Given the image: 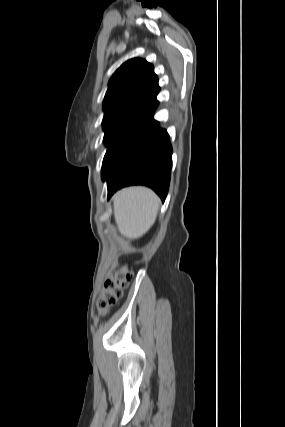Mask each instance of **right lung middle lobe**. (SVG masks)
Returning a JSON list of instances; mask_svg holds the SVG:
<instances>
[{
  "instance_id": "dd1d6c3e",
  "label": "right lung middle lobe",
  "mask_w": 285,
  "mask_h": 427,
  "mask_svg": "<svg viewBox=\"0 0 285 427\" xmlns=\"http://www.w3.org/2000/svg\"><path fill=\"white\" fill-rule=\"evenodd\" d=\"M145 113H121L103 119L104 142L107 145L102 174L112 165L119 150L140 124Z\"/></svg>"
}]
</instances>
